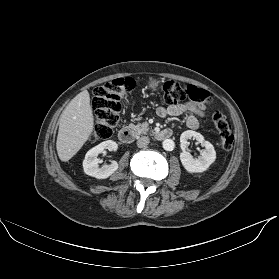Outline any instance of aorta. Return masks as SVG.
I'll list each match as a JSON object with an SVG mask.
<instances>
[{
  "instance_id": "aorta-1",
  "label": "aorta",
  "mask_w": 279,
  "mask_h": 279,
  "mask_svg": "<svg viewBox=\"0 0 279 279\" xmlns=\"http://www.w3.org/2000/svg\"><path fill=\"white\" fill-rule=\"evenodd\" d=\"M162 145H163V148L166 150V151H172L174 149V141L171 140V139H165L163 142H162Z\"/></svg>"
}]
</instances>
